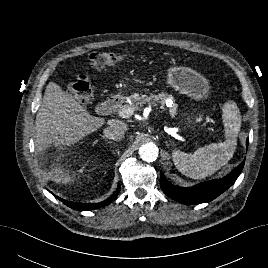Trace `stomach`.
Instances as JSON below:
<instances>
[{
	"label": "stomach",
	"instance_id": "1",
	"mask_svg": "<svg viewBox=\"0 0 268 268\" xmlns=\"http://www.w3.org/2000/svg\"><path fill=\"white\" fill-rule=\"evenodd\" d=\"M166 84L194 100L207 98L210 91L209 82L201 73L182 64H172L167 69ZM192 123L194 121L188 119V124Z\"/></svg>",
	"mask_w": 268,
	"mask_h": 268
}]
</instances>
